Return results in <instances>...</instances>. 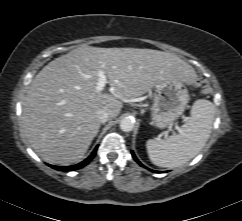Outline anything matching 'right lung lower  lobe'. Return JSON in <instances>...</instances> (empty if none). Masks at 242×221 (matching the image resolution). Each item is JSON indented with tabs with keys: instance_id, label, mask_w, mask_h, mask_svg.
I'll use <instances>...</instances> for the list:
<instances>
[{
	"instance_id": "right-lung-lower-lobe-1",
	"label": "right lung lower lobe",
	"mask_w": 242,
	"mask_h": 221,
	"mask_svg": "<svg viewBox=\"0 0 242 221\" xmlns=\"http://www.w3.org/2000/svg\"><path fill=\"white\" fill-rule=\"evenodd\" d=\"M97 148L98 147H96L94 149V151L91 153V155L87 159H85L84 161H82L79 164L72 165V166H53V165H49V166L56 170H61V171H73V170L80 169V168L86 166L93 159V157L96 154Z\"/></svg>"
}]
</instances>
